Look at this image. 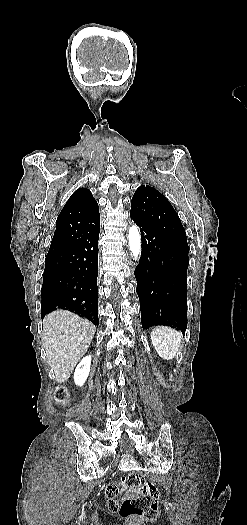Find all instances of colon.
I'll return each mask as SVG.
<instances>
[{"label": "colon", "mask_w": 247, "mask_h": 525, "mask_svg": "<svg viewBox=\"0 0 247 525\" xmlns=\"http://www.w3.org/2000/svg\"><path fill=\"white\" fill-rule=\"evenodd\" d=\"M55 399L64 403L69 399L67 390L58 387L55 390ZM125 489H121L120 516L129 520H146L153 522L158 518L159 490L155 485L147 483L137 472H130L126 478Z\"/></svg>", "instance_id": "5ec220e1"}]
</instances>
